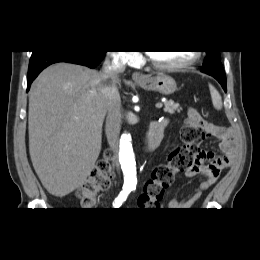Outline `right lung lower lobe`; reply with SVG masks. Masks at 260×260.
I'll return each mask as SVG.
<instances>
[{"label":"right lung lower lobe","instance_id":"obj_1","mask_svg":"<svg viewBox=\"0 0 260 260\" xmlns=\"http://www.w3.org/2000/svg\"><path fill=\"white\" fill-rule=\"evenodd\" d=\"M106 51H33L29 62L27 91L38 74L57 62H69L95 68L103 60Z\"/></svg>","mask_w":260,"mask_h":260}]
</instances>
